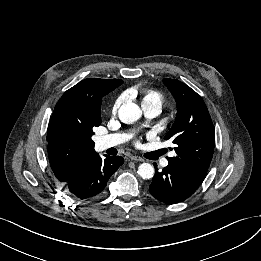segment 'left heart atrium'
Segmentation results:
<instances>
[{
    "label": "left heart atrium",
    "instance_id": "1",
    "mask_svg": "<svg viewBox=\"0 0 261 261\" xmlns=\"http://www.w3.org/2000/svg\"><path fill=\"white\" fill-rule=\"evenodd\" d=\"M151 136V134H149ZM140 142H141V137H137L135 140H134V143L136 145H140Z\"/></svg>",
    "mask_w": 261,
    "mask_h": 261
}]
</instances>
